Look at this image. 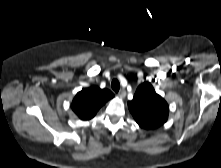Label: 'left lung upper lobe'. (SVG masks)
Here are the masks:
<instances>
[{
	"label": "left lung upper lobe",
	"instance_id": "1",
	"mask_svg": "<svg viewBox=\"0 0 221 168\" xmlns=\"http://www.w3.org/2000/svg\"><path fill=\"white\" fill-rule=\"evenodd\" d=\"M128 108L138 125L145 129H155L163 125L169 113L167 102L148 82L137 88L133 100L128 102Z\"/></svg>",
	"mask_w": 221,
	"mask_h": 168
}]
</instances>
